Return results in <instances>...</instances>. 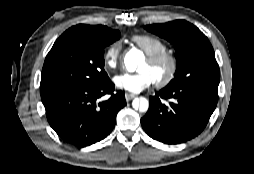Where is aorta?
<instances>
[{
	"label": "aorta",
	"mask_w": 254,
	"mask_h": 174,
	"mask_svg": "<svg viewBox=\"0 0 254 174\" xmlns=\"http://www.w3.org/2000/svg\"><path fill=\"white\" fill-rule=\"evenodd\" d=\"M142 60V53L137 49H131L124 57V64L129 72H134L137 68V63ZM133 108L139 109L140 112H146L149 107L148 100L144 97L136 98L132 102Z\"/></svg>",
	"instance_id": "1"
}]
</instances>
